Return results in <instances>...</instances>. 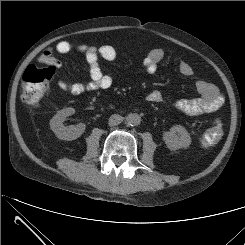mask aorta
Wrapping results in <instances>:
<instances>
[{"label":"aorta","mask_w":245,"mask_h":245,"mask_svg":"<svg viewBox=\"0 0 245 245\" xmlns=\"http://www.w3.org/2000/svg\"><path fill=\"white\" fill-rule=\"evenodd\" d=\"M126 120L129 125L137 126L141 122V117L137 113H130L127 115Z\"/></svg>","instance_id":"762f6f07"}]
</instances>
